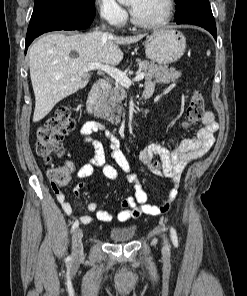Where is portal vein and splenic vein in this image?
<instances>
[{
  "mask_svg": "<svg viewBox=\"0 0 247 296\" xmlns=\"http://www.w3.org/2000/svg\"><path fill=\"white\" fill-rule=\"evenodd\" d=\"M91 70H100L108 75H110L112 78L115 79V81L119 84H121L125 88H129L132 84V81H141L145 77V73H138L136 77L131 81L129 77L126 75V73L122 72L121 70L109 66V65H104L102 63H88L83 71H91Z\"/></svg>",
  "mask_w": 247,
  "mask_h": 296,
  "instance_id": "18ae733b",
  "label": "portal vein and splenic vein"
}]
</instances>
